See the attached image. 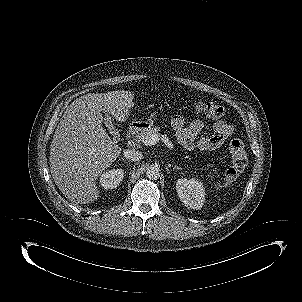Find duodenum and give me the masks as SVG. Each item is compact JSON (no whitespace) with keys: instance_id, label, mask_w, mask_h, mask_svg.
Returning <instances> with one entry per match:
<instances>
[{"instance_id":"410a0bca","label":"duodenum","mask_w":302,"mask_h":302,"mask_svg":"<svg viewBox=\"0 0 302 302\" xmlns=\"http://www.w3.org/2000/svg\"><path fill=\"white\" fill-rule=\"evenodd\" d=\"M142 127L143 125L139 122L131 124L128 128L127 139H131L135 133L140 132L142 130Z\"/></svg>"}]
</instances>
